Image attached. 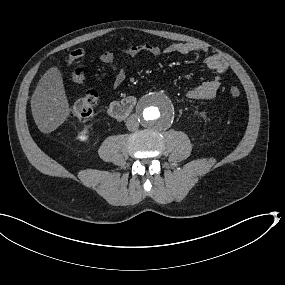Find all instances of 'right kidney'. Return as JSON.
Returning a JSON list of instances; mask_svg holds the SVG:
<instances>
[{
    "label": "right kidney",
    "mask_w": 285,
    "mask_h": 285,
    "mask_svg": "<svg viewBox=\"0 0 285 285\" xmlns=\"http://www.w3.org/2000/svg\"><path fill=\"white\" fill-rule=\"evenodd\" d=\"M90 138V130L88 128L81 130L78 134H76L73 139L80 143H85Z\"/></svg>",
    "instance_id": "ca27d5eb"
}]
</instances>
